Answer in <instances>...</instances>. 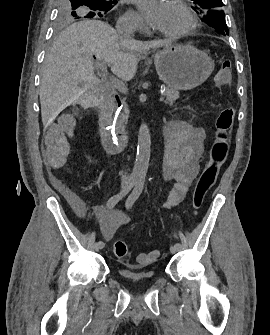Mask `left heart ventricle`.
Segmentation results:
<instances>
[{"label": "left heart ventricle", "instance_id": "obj_1", "mask_svg": "<svg viewBox=\"0 0 270 335\" xmlns=\"http://www.w3.org/2000/svg\"><path fill=\"white\" fill-rule=\"evenodd\" d=\"M188 25L187 17L179 12L177 9L174 11L172 21H171V29L174 33L179 32L185 29ZM186 52V51H182Z\"/></svg>", "mask_w": 270, "mask_h": 335}]
</instances>
